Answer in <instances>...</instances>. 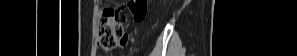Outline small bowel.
Listing matches in <instances>:
<instances>
[{"instance_id":"c3829d8e","label":"small bowel","mask_w":297,"mask_h":56,"mask_svg":"<svg viewBox=\"0 0 297 56\" xmlns=\"http://www.w3.org/2000/svg\"><path fill=\"white\" fill-rule=\"evenodd\" d=\"M131 33H122L119 40V49H128V41H130Z\"/></svg>"}]
</instances>
